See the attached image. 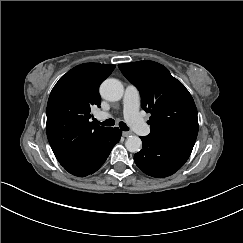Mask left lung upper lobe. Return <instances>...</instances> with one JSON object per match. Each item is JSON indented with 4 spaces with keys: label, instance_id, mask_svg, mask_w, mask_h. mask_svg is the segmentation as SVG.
I'll list each match as a JSON object with an SVG mask.
<instances>
[{
    "label": "left lung upper lobe",
    "instance_id": "5c2ea615",
    "mask_svg": "<svg viewBox=\"0 0 243 243\" xmlns=\"http://www.w3.org/2000/svg\"><path fill=\"white\" fill-rule=\"evenodd\" d=\"M118 67L138 88L142 108L151 114L149 136L193 147L198 134L197 109L185 86L166 67L153 61Z\"/></svg>",
    "mask_w": 243,
    "mask_h": 243
}]
</instances>
